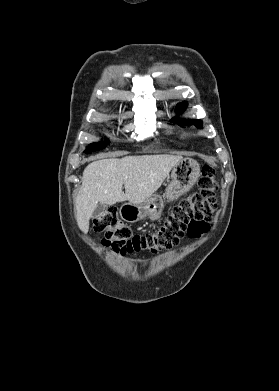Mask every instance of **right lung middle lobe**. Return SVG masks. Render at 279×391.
<instances>
[{"instance_id": "dd1d6c3e", "label": "right lung middle lobe", "mask_w": 279, "mask_h": 391, "mask_svg": "<svg viewBox=\"0 0 279 391\" xmlns=\"http://www.w3.org/2000/svg\"><path fill=\"white\" fill-rule=\"evenodd\" d=\"M107 144H109V141L108 140H105L104 142H101V143H93V144H90L86 150L84 151L85 153H91L92 151H96V150H99V149H102L104 147L107 146Z\"/></svg>"}]
</instances>
